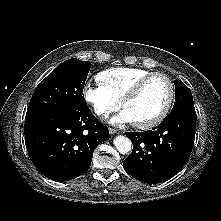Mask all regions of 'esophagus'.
<instances>
[{
    "label": "esophagus",
    "mask_w": 221,
    "mask_h": 221,
    "mask_svg": "<svg viewBox=\"0 0 221 221\" xmlns=\"http://www.w3.org/2000/svg\"><path fill=\"white\" fill-rule=\"evenodd\" d=\"M118 132H119V131H118L117 129L109 128V133H110L111 135L116 134V133H118Z\"/></svg>",
    "instance_id": "34e87169"
}]
</instances>
